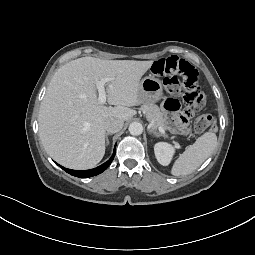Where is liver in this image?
Returning <instances> with one entry per match:
<instances>
[{
  "mask_svg": "<svg viewBox=\"0 0 255 255\" xmlns=\"http://www.w3.org/2000/svg\"><path fill=\"white\" fill-rule=\"evenodd\" d=\"M153 61L82 57L52 77L39 111V136L46 152L71 169L95 167L105 154V122L131 119L139 105L140 79ZM106 82L107 102L99 103L96 83Z\"/></svg>",
  "mask_w": 255,
  "mask_h": 255,
  "instance_id": "6515ba94",
  "label": "liver"
}]
</instances>
